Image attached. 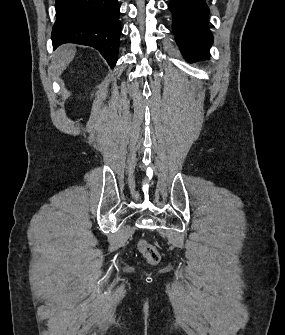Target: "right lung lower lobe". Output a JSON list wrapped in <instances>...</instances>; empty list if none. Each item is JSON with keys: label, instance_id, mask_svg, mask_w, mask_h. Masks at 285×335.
I'll return each mask as SVG.
<instances>
[{"label": "right lung lower lobe", "instance_id": "obj_1", "mask_svg": "<svg viewBox=\"0 0 285 335\" xmlns=\"http://www.w3.org/2000/svg\"><path fill=\"white\" fill-rule=\"evenodd\" d=\"M55 49L64 43L96 48L111 68L118 58L121 25L117 0H56Z\"/></svg>", "mask_w": 285, "mask_h": 335}]
</instances>
